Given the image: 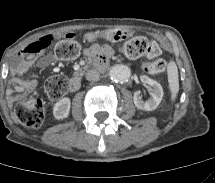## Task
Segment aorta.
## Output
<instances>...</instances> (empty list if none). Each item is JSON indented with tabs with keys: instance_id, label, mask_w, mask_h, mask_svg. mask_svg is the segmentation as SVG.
<instances>
[{
	"instance_id": "1",
	"label": "aorta",
	"mask_w": 215,
	"mask_h": 183,
	"mask_svg": "<svg viewBox=\"0 0 215 183\" xmlns=\"http://www.w3.org/2000/svg\"><path fill=\"white\" fill-rule=\"evenodd\" d=\"M109 75L113 80L125 82L130 78L131 70L126 65L116 64L110 69Z\"/></svg>"
}]
</instances>
